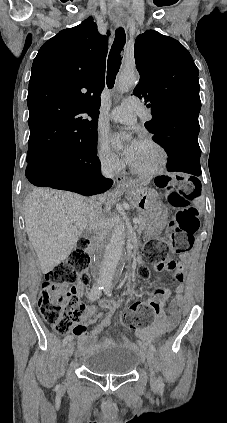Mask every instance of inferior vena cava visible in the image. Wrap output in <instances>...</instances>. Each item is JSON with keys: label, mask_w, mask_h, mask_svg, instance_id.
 <instances>
[{"label": "inferior vena cava", "mask_w": 227, "mask_h": 423, "mask_svg": "<svg viewBox=\"0 0 227 423\" xmlns=\"http://www.w3.org/2000/svg\"><path fill=\"white\" fill-rule=\"evenodd\" d=\"M116 162L115 154H109L105 160H101V172L105 178H113V166ZM86 208H88L89 215H92L89 219V225L94 227V229H102L100 223H98L99 213L101 211V204L100 202H87Z\"/></svg>", "instance_id": "inferior-vena-cava-1"}]
</instances>
